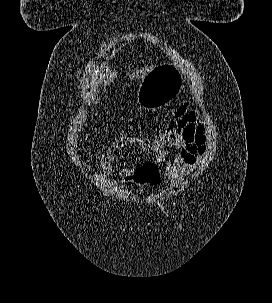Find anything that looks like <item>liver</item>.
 Masks as SVG:
<instances>
[{
  "instance_id": "liver-1",
  "label": "liver",
  "mask_w": 272,
  "mask_h": 303,
  "mask_svg": "<svg viewBox=\"0 0 272 303\" xmlns=\"http://www.w3.org/2000/svg\"><path fill=\"white\" fill-rule=\"evenodd\" d=\"M155 68L154 65L147 66L145 68L136 69L132 75L127 74V76L132 80L134 78L143 79L146 75ZM117 77V72L112 71L110 69H106L104 73L100 75L99 81L102 82L104 85L110 84L115 78Z\"/></svg>"
}]
</instances>
